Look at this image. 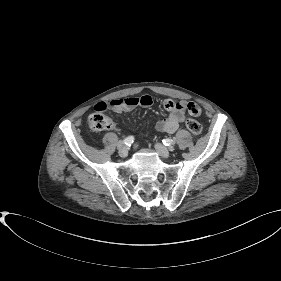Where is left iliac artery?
Returning a JSON list of instances; mask_svg holds the SVG:
<instances>
[{
  "label": "left iliac artery",
  "mask_w": 281,
  "mask_h": 281,
  "mask_svg": "<svg viewBox=\"0 0 281 281\" xmlns=\"http://www.w3.org/2000/svg\"><path fill=\"white\" fill-rule=\"evenodd\" d=\"M163 144L165 145V146H171V145H174L175 144V142H174V140H172V139H164L163 140Z\"/></svg>",
  "instance_id": "44dca946"
}]
</instances>
